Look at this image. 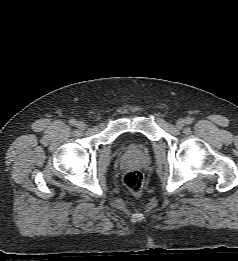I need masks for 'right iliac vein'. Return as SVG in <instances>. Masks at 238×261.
Here are the masks:
<instances>
[{
  "instance_id": "63e3f726",
  "label": "right iliac vein",
  "mask_w": 238,
  "mask_h": 261,
  "mask_svg": "<svg viewBox=\"0 0 238 261\" xmlns=\"http://www.w3.org/2000/svg\"><path fill=\"white\" fill-rule=\"evenodd\" d=\"M77 127L80 129V130H84L86 128V124L82 121H78L77 122Z\"/></svg>"
}]
</instances>
